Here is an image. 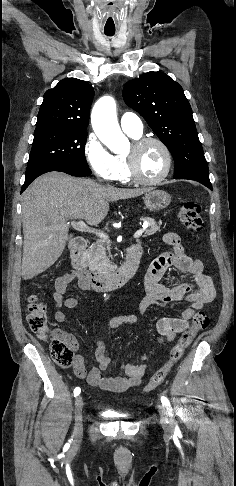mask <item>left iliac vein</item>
Here are the masks:
<instances>
[{"mask_svg": "<svg viewBox=\"0 0 236 486\" xmlns=\"http://www.w3.org/2000/svg\"><path fill=\"white\" fill-rule=\"evenodd\" d=\"M161 415V424L167 434H171L174 430V420L171 412L163 405H159Z\"/></svg>", "mask_w": 236, "mask_h": 486, "instance_id": "obj_1", "label": "left iliac vein"}]
</instances>
